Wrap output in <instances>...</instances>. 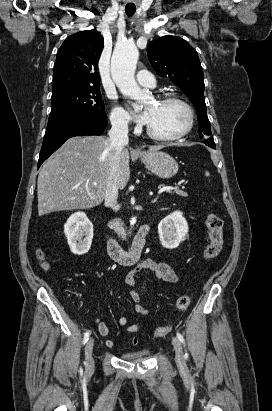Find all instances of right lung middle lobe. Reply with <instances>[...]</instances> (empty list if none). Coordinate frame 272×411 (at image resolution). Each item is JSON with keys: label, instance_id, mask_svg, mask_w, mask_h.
I'll list each match as a JSON object with an SVG mask.
<instances>
[{"label": "right lung middle lobe", "instance_id": "dd1d6c3e", "mask_svg": "<svg viewBox=\"0 0 272 411\" xmlns=\"http://www.w3.org/2000/svg\"><path fill=\"white\" fill-rule=\"evenodd\" d=\"M81 117L107 119L99 86L72 88L52 95L46 129Z\"/></svg>", "mask_w": 272, "mask_h": 411}]
</instances>
